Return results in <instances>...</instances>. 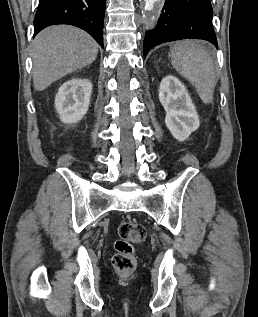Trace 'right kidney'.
<instances>
[{
	"mask_svg": "<svg viewBox=\"0 0 258 317\" xmlns=\"http://www.w3.org/2000/svg\"><path fill=\"white\" fill-rule=\"evenodd\" d=\"M92 82L87 78H71L60 86L55 108L62 122H78L86 114L91 98Z\"/></svg>",
	"mask_w": 258,
	"mask_h": 317,
	"instance_id": "1",
	"label": "right kidney"
}]
</instances>
